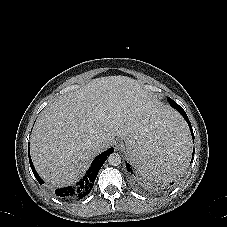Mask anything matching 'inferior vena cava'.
<instances>
[{
    "label": "inferior vena cava",
    "instance_id": "inferior-vena-cava-1",
    "mask_svg": "<svg viewBox=\"0 0 227 227\" xmlns=\"http://www.w3.org/2000/svg\"><path fill=\"white\" fill-rule=\"evenodd\" d=\"M105 142L103 140H95L91 143L93 149L100 151L105 147Z\"/></svg>",
    "mask_w": 227,
    "mask_h": 227
}]
</instances>
